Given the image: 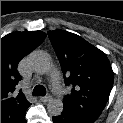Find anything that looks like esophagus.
<instances>
[{
    "instance_id": "esophagus-1",
    "label": "esophagus",
    "mask_w": 123,
    "mask_h": 123,
    "mask_svg": "<svg viewBox=\"0 0 123 123\" xmlns=\"http://www.w3.org/2000/svg\"><path fill=\"white\" fill-rule=\"evenodd\" d=\"M51 99H52V96H50V95H46V96L40 97V101H41V102H48V101H50Z\"/></svg>"
}]
</instances>
